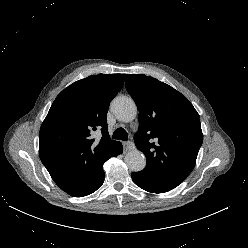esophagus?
<instances>
[{
  "label": "esophagus",
  "mask_w": 248,
  "mask_h": 248,
  "mask_svg": "<svg viewBox=\"0 0 248 248\" xmlns=\"http://www.w3.org/2000/svg\"><path fill=\"white\" fill-rule=\"evenodd\" d=\"M124 151L129 152L135 148L134 143L127 141L123 143Z\"/></svg>",
  "instance_id": "1"
}]
</instances>
